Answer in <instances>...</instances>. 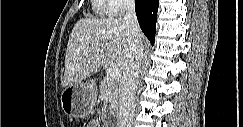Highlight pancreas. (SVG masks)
<instances>
[{
    "instance_id": "obj_1",
    "label": "pancreas",
    "mask_w": 243,
    "mask_h": 127,
    "mask_svg": "<svg viewBox=\"0 0 243 127\" xmlns=\"http://www.w3.org/2000/svg\"><path fill=\"white\" fill-rule=\"evenodd\" d=\"M99 89L104 101V111L106 109L115 110L119 98L118 82L109 77H104L100 82Z\"/></svg>"
}]
</instances>
